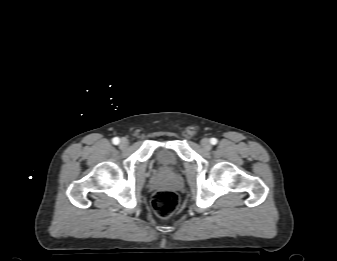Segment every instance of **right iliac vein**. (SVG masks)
I'll use <instances>...</instances> for the list:
<instances>
[{"label":"right iliac vein","instance_id":"obj_1","mask_svg":"<svg viewBox=\"0 0 337 261\" xmlns=\"http://www.w3.org/2000/svg\"><path fill=\"white\" fill-rule=\"evenodd\" d=\"M128 144H129L128 139L122 138V139L120 140L119 146H120L121 149H124V148H126V147L128 146Z\"/></svg>","mask_w":337,"mask_h":261}]
</instances>
